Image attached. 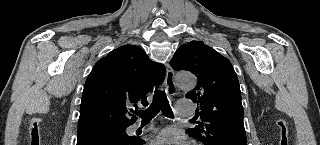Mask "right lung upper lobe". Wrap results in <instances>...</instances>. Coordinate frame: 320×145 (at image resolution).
<instances>
[{
  "instance_id": "right-lung-upper-lobe-1",
  "label": "right lung upper lobe",
  "mask_w": 320,
  "mask_h": 145,
  "mask_svg": "<svg viewBox=\"0 0 320 145\" xmlns=\"http://www.w3.org/2000/svg\"><path fill=\"white\" fill-rule=\"evenodd\" d=\"M165 73V66L150 60L139 46L124 45L111 51L95 64L86 80L78 133L131 125L136 117L128 118V108L148 105L146 94L164 81Z\"/></svg>"
}]
</instances>
